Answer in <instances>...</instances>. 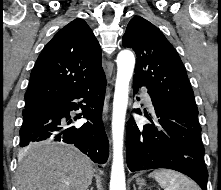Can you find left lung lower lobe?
I'll use <instances>...</instances> for the list:
<instances>
[{"instance_id": "left-lung-lower-lobe-1", "label": "left lung lower lobe", "mask_w": 221, "mask_h": 190, "mask_svg": "<svg viewBox=\"0 0 221 190\" xmlns=\"http://www.w3.org/2000/svg\"><path fill=\"white\" fill-rule=\"evenodd\" d=\"M144 86L134 80L137 93ZM157 124L137 125L133 118L127 124L126 155L130 171L168 168L192 178L207 190L208 171L204 162L201 127L197 116L165 105L148 91ZM135 112L141 114L140 109ZM145 116L151 120L145 111Z\"/></svg>"}]
</instances>
